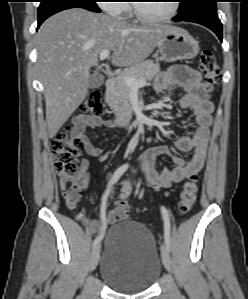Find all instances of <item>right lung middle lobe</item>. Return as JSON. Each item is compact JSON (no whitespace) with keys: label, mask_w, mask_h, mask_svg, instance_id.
<instances>
[{"label":"right lung middle lobe","mask_w":248,"mask_h":299,"mask_svg":"<svg viewBox=\"0 0 248 299\" xmlns=\"http://www.w3.org/2000/svg\"><path fill=\"white\" fill-rule=\"evenodd\" d=\"M62 7H80L94 12H100L96 0H41L38 8V18Z\"/></svg>","instance_id":"1"}]
</instances>
